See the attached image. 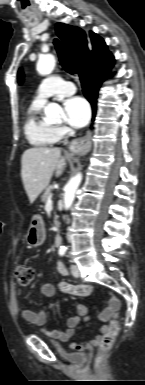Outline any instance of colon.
<instances>
[{
	"instance_id": "1",
	"label": "colon",
	"mask_w": 145,
	"mask_h": 385,
	"mask_svg": "<svg viewBox=\"0 0 145 385\" xmlns=\"http://www.w3.org/2000/svg\"><path fill=\"white\" fill-rule=\"evenodd\" d=\"M15 281L21 287H26L30 284L33 279V269L26 264H18L14 268L13 272ZM62 291L68 294L75 295L79 292L76 287L71 285H64L62 287ZM119 332V321L117 319H111L108 331L103 335L101 340L99 341V352L100 354L106 353L112 346L115 337Z\"/></svg>"
}]
</instances>
